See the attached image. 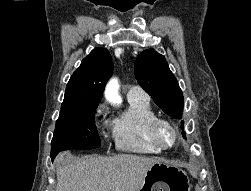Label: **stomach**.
<instances>
[{
  "label": "stomach",
  "instance_id": "stomach-1",
  "mask_svg": "<svg viewBox=\"0 0 251 191\" xmlns=\"http://www.w3.org/2000/svg\"><path fill=\"white\" fill-rule=\"evenodd\" d=\"M160 185H163L166 191H190L186 171L177 165L157 161L145 173L139 191H164V189H159Z\"/></svg>",
  "mask_w": 251,
  "mask_h": 191
}]
</instances>
